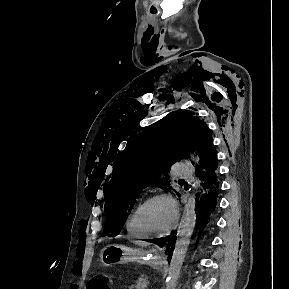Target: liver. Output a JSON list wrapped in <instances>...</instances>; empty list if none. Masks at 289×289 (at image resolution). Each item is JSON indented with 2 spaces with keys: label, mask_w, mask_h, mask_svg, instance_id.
Returning a JSON list of instances; mask_svg holds the SVG:
<instances>
[{
  "label": "liver",
  "mask_w": 289,
  "mask_h": 289,
  "mask_svg": "<svg viewBox=\"0 0 289 289\" xmlns=\"http://www.w3.org/2000/svg\"><path fill=\"white\" fill-rule=\"evenodd\" d=\"M135 244L140 245V246L146 245V243L142 241H135Z\"/></svg>",
  "instance_id": "liver-1"
}]
</instances>
